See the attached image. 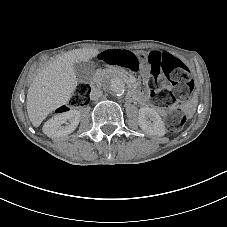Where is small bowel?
<instances>
[{
	"mask_svg": "<svg viewBox=\"0 0 227 227\" xmlns=\"http://www.w3.org/2000/svg\"><path fill=\"white\" fill-rule=\"evenodd\" d=\"M135 54H137V55H143V56H148V55H159V56H161L162 55V52H159V51H152V52H150V53H148V54H138V53H135Z\"/></svg>",
	"mask_w": 227,
	"mask_h": 227,
	"instance_id": "1",
	"label": "small bowel"
}]
</instances>
